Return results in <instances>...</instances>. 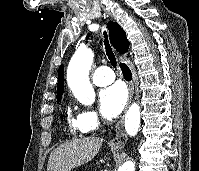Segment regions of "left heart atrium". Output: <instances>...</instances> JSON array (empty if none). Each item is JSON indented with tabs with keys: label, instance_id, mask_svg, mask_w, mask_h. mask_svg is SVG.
<instances>
[{
	"label": "left heart atrium",
	"instance_id": "1",
	"mask_svg": "<svg viewBox=\"0 0 199 171\" xmlns=\"http://www.w3.org/2000/svg\"><path fill=\"white\" fill-rule=\"evenodd\" d=\"M127 94L121 83H115L103 90L99 94L100 110L108 118H115L124 108Z\"/></svg>",
	"mask_w": 199,
	"mask_h": 171
}]
</instances>
